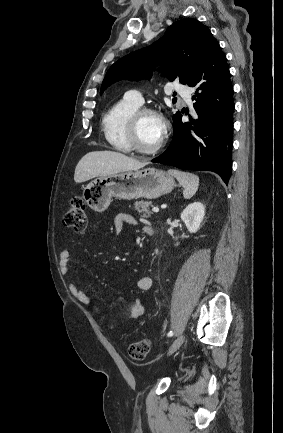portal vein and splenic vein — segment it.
<instances>
[{
    "mask_svg": "<svg viewBox=\"0 0 283 433\" xmlns=\"http://www.w3.org/2000/svg\"><path fill=\"white\" fill-rule=\"evenodd\" d=\"M152 210H153V212H159L158 206H153Z\"/></svg>",
    "mask_w": 283,
    "mask_h": 433,
    "instance_id": "obj_1",
    "label": "portal vein and splenic vein"
}]
</instances>
